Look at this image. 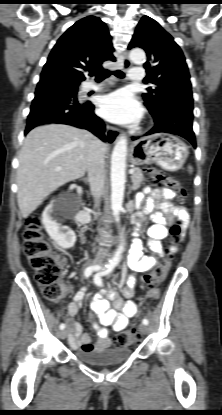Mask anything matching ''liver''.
Instances as JSON below:
<instances>
[{
    "mask_svg": "<svg viewBox=\"0 0 222 415\" xmlns=\"http://www.w3.org/2000/svg\"><path fill=\"white\" fill-rule=\"evenodd\" d=\"M95 140L90 132L64 124L39 126L28 133L17 170V201L23 218L59 187L85 175Z\"/></svg>",
    "mask_w": 222,
    "mask_h": 415,
    "instance_id": "6515ba94",
    "label": "liver"
}]
</instances>
